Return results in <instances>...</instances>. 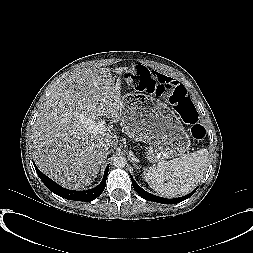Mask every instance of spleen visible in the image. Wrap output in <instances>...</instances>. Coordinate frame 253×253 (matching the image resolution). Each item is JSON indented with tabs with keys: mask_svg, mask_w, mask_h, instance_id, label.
Masks as SVG:
<instances>
[{
	"mask_svg": "<svg viewBox=\"0 0 253 253\" xmlns=\"http://www.w3.org/2000/svg\"><path fill=\"white\" fill-rule=\"evenodd\" d=\"M209 152L200 149L144 170V178L159 195L174 198L188 194L203 178Z\"/></svg>",
	"mask_w": 253,
	"mask_h": 253,
	"instance_id": "spleen-1",
	"label": "spleen"
}]
</instances>
